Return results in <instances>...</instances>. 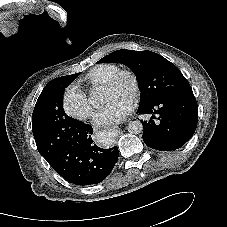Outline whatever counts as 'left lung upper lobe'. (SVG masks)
Wrapping results in <instances>:
<instances>
[{
    "mask_svg": "<svg viewBox=\"0 0 227 227\" xmlns=\"http://www.w3.org/2000/svg\"><path fill=\"white\" fill-rule=\"evenodd\" d=\"M104 62L123 63L132 69L141 92L139 107L171 96L193 93L180 70L154 52L122 49L98 61Z\"/></svg>",
    "mask_w": 227,
    "mask_h": 227,
    "instance_id": "1",
    "label": "left lung upper lobe"
}]
</instances>
